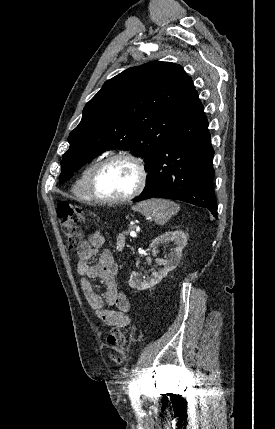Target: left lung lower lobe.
<instances>
[{
	"label": "left lung lower lobe",
	"instance_id": "0a47b994",
	"mask_svg": "<svg viewBox=\"0 0 275 429\" xmlns=\"http://www.w3.org/2000/svg\"><path fill=\"white\" fill-rule=\"evenodd\" d=\"M213 155L208 121L195 92L187 111L147 168L143 192L133 201L152 197L181 200L205 207L217 218Z\"/></svg>",
	"mask_w": 275,
	"mask_h": 429
}]
</instances>
